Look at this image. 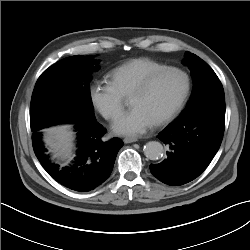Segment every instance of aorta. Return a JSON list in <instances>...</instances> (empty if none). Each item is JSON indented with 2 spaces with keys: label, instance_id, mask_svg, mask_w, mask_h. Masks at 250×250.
<instances>
[{
  "label": "aorta",
  "instance_id": "aorta-1",
  "mask_svg": "<svg viewBox=\"0 0 250 250\" xmlns=\"http://www.w3.org/2000/svg\"><path fill=\"white\" fill-rule=\"evenodd\" d=\"M144 155L150 160H158L163 157L164 148L157 141H150L144 146Z\"/></svg>",
  "mask_w": 250,
  "mask_h": 250
}]
</instances>
